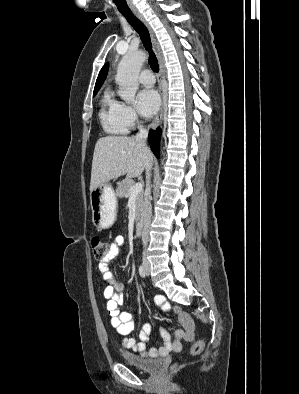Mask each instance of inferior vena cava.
<instances>
[{"label": "inferior vena cava", "instance_id": "inferior-vena-cava-1", "mask_svg": "<svg viewBox=\"0 0 299 394\" xmlns=\"http://www.w3.org/2000/svg\"><path fill=\"white\" fill-rule=\"evenodd\" d=\"M148 137V132L146 129H140V131L137 133L135 136L137 141L142 142L144 145H146V139ZM151 168H152V163L148 164L146 167V192H145V201H144V221H143V231H142V243H143V257L142 261L145 265L148 264V260L146 258V246L149 241V227L151 224V216H152V206H151V201H150V176H151Z\"/></svg>", "mask_w": 299, "mask_h": 394}]
</instances>
